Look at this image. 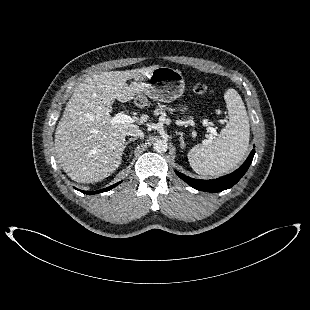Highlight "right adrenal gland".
<instances>
[{
	"mask_svg": "<svg viewBox=\"0 0 310 310\" xmlns=\"http://www.w3.org/2000/svg\"><path fill=\"white\" fill-rule=\"evenodd\" d=\"M135 140H137V138H130L128 141L125 142L124 148H126L127 145H128L131 141H135ZM130 156H131V155H130Z\"/></svg>",
	"mask_w": 310,
	"mask_h": 310,
	"instance_id": "2a0ac1e0",
	"label": "right adrenal gland"
}]
</instances>
